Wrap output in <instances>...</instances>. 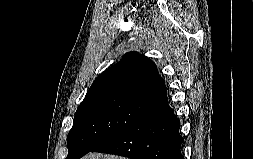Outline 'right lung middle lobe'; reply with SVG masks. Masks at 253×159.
Here are the masks:
<instances>
[{
    "mask_svg": "<svg viewBox=\"0 0 253 159\" xmlns=\"http://www.w3.org/2000/svg\"><path fill=\"white\" fill-rule=\"evenodd\" d=\"M157 107L152 102L129 96L84 99L67 136L66 159H79Z\"/></svg>",
    "mask_w": 253,
    "mask_h": 159,
    "instance_id": "obj_1",
    "label": "right lung middle lobe"
}]
</instances>
